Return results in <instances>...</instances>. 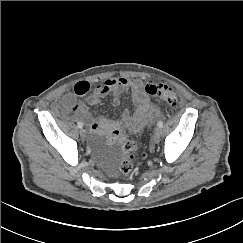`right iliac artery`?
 Wrapping results in <instances>:
<instances>
[{"instance_id": "obj_1", "label": "right iliac artery", "mask_w": 243, "mask_h": 243, "mask_svg": "<svg viewBox=\"0 0 243 243\" xmlns=\"http://www.w3.org/2000/svg\"><path fill=\"white\" fill-rule=\"evenodd\" d=\"M77 125H78L79 128H82L83 127V123L82 122H78Z\"/></svg>"}]
</instances>
